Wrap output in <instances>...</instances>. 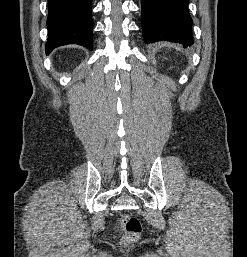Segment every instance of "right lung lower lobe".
I'll list each match as a JSON object with an SVG mask.
<instances>
[{"label": "right lung lower lobe", "mask_w": 247, "mask_h": 257, "mask_svg": "<svg viewBox=\"0 0 247 257\" xmlns=\"http://www.w3.org/2000/svg\"><path fill=\"white\" fill-rule=\"evenodd\" d=\"M91 9V0H48L46 54L67 44L92 50Z\"/></svg>", "instance_id": "98d812e1"}]
</instances>
